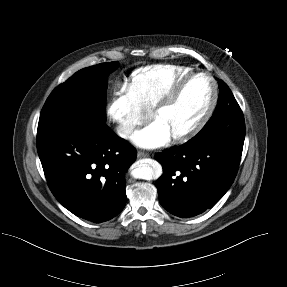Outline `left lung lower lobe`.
I'll list each match as a JSON object with an SVG mask.
<instances>
[{
    "instance_id": "1",
    "label": "left lung lower lobe",
    "mask_w": 287,
    "mask_h": 287,
    "mask_svg": "<svg viewBox=\"0 0 287 287\" xmlns=\"http://www.w3.org/2000/svg\"><path fill=\"white\" fill-rule=\"evenodd\" d=\"M242 149L189 140L156 154L163 166L156 182L162 207L178 217H193L213 207L232 185Z\"/></svg>"
}]
</instances>
